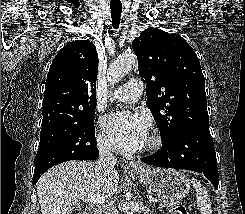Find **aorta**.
<instances>
[{"instance_id": "obj_1", "label": "aorta", "mask_w": 245, "mask_h": 214, "mask_svg": "<svg viewBox=\"0 0 245 214\" xmlns=\"http://www.w3.org/2000/svg\"><path fill=\"white\" fill-rule=\"evenodd\" d=\"M136 65V57L133 54L123 55L115 60L108 69V77L111 84L117 83ZM130 214H133L131 212Z\"/></svg>"}]
</instances>
